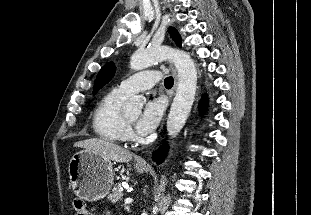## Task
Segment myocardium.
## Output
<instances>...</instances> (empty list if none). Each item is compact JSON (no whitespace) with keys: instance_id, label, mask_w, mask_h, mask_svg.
I'll return each instance as SVG.
<instances>
[{"instance_id":"f54148a6","label":"myocardium","mask_w":311,"mask_h":215,"mask_svg":"<svg viewBox=\"0 0 311 215\" xmlns=\"http://www.w3.org/2000/svg\"><path fill=\"white\" fill-rule=\"evenodd\" d=\"M125 120H126V123H130V121L127 118H125Z\"/></svg>"}]
</instances>
